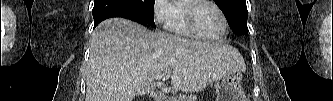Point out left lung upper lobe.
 I'll return each mask as SVG.
<instances>
[{
	"label": "left lung upper lobe",
	"mask_w": 333,
	"mask_h": 101,
	"mask_svg": "<svg viewBox=\"0 0 333 101\" xmlns=\"http://www.w3.org/2000/svg\"><path fill=\"white\" fill-rule=\"evenodd\" d=\"M237 35L248 34L246 0H214Z\"/></svg>",
	"instance_id": "obj_1"
}]
</instances>
